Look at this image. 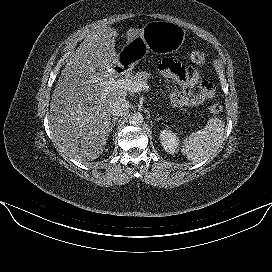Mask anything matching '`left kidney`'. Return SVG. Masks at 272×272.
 Listing matches in <instances>:
<instances>
[{
    "instance_id": "5707ae66",
    "label": "left kidney",
    "mask_w": 272,
    "mask_h": 272,
    "mask_svg": "<svg viewBox=\"0 0 272 272\" xmlns=\"http://www.w3.org/2000/svg\"><path fill=\"white\" fill-rule=\"evenodd\" d=\"M161 145L170 154H175L178 147L177 134L169 129L162 130L159 135Z\"/></svg>"
}]
</instances>
